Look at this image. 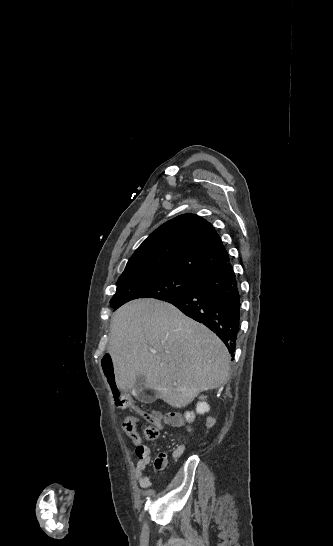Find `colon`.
<instances>
[{
	"label": "colon",
	"mask_w": 333,
	"mask_h": 546,
	"mask_svg": "<svg viewBox=\"0 0 333 546\" xmlns=\"http://www.w3.org/2000/svg\"><path fill=\"white\" fill-rule=\"evenodd\" d=\"M102 368L105 373L106 378H108V385H110V390L113 392L114 403L118 408L121 409H136V401L133 397L126 392H121L117 390L116 381L113 379V358L110 354L104 355L102 358ZM144 415H149V413L144 412ZM137 426V419L133 416H128L124 420L123 428L128 436L135 435ZM159 431L157 426L151 422V424L144 425L142 427V436L147 440H154L158 437Z\"/></svg>",
	"instance_id": "1"
}]
</instances>
